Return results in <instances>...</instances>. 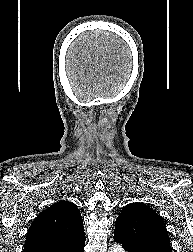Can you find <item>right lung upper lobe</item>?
<instances>
[{
    "instance_id": "right-lung-upper-lobe-1",
    "label": "right lung upper lobe",
    "mask_w": 193,
    "mask_h": 252,
    "mask_svg": "<svg viewBox=\"0 0 193 252\" xmlns=\"http://www.w3.org/2000/svg\"><path fill=\"white\" fill-rule=\"evenodd\" d=\"M84 237L83 220L77 206L59 201L34 219L23 252H58Z\"/></svg>"
}]
</instances>
